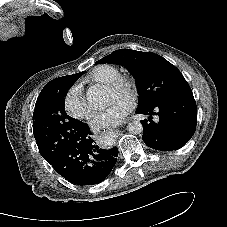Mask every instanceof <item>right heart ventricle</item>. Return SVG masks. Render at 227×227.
Masks as SVG:
<instances>
[{
    "label": "right heart ventricle",
    "mask_w": 227,
    "mask_h": 227,
    "mask_svg": "<svg viewBox=\"0 0 227 227\" xmlns=\"http://www.w3.org/2000/svg\"><path fill=\"white\" fill-rule=\"evenodd\" d=\"M120 74L118 67L112 64H99L93 67L84 78L85 82L107 84Z\"/></svg>",
    "instance_id": "1"
}]
</instances>
